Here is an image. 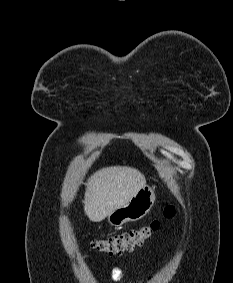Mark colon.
I'll return each mask as SVG.
<instances>
[{
  "instance_id": "1",
  "label": "colon",
  "mask_w": 233,
  "mask_h": 283,
  "mask_svg": "<svg viewBox=\"0 0 233 283\" xmlns=\"http://www.w3.org/2000/svg\"><path fill=\"white\" fill-rule=\"evenodd\" d=\"M174 215L175 208L172 205H167L163 210V216L165 218H172ZM159 226V220L154 219L122 234L94 240L91 245L95 250L101 253L120 255L142 245L159 229Z\"/></svg>"
}]
</instances>
